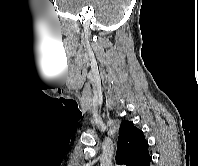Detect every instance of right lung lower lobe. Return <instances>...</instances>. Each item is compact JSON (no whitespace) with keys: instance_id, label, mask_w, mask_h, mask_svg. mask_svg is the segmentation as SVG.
<instances>
[{"instance_id":"right-lung-lower-lobe-1","label":"right lung lower lobe","mask_w":198,"mask_h":166,"mask_svg":"<svg viewBox=\"0 0 198 166\" xmlns=\"http://www.w3.org/2000/svg\"><path fill=\"white\" fill-rule=\"evenodd\" d=\"M151 162V157H149V159L145 162V164H143V166H149Z\"/></svg>"}]
</instances>
